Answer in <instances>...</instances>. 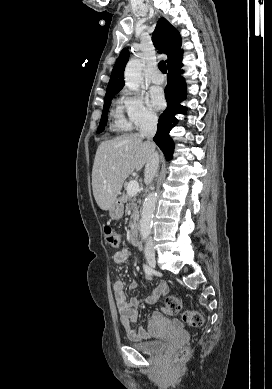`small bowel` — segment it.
<instances>
[{
  "label": "small bowel",
  "mask_w": 272,
  "mask_h": 389,
  "mask_svg": "<svg viewBox=\"0 0 272 389\" xmlns=\"http://www.w3.org/2000/svg\"><path fill=\"white\" fill-rule=\"evenodd\" d=\"M129 256V251L125 248L115 252L113 255V260L115 263H123ZM131 289L137 287L136 281H131L129 284ZM114 297L116 300V305L120 315L121 325L130 340L140 341L147 340L153 337V331L151 325L160 319L161 314L155 312L152 316V319L149 322V328L139 327L137 330L133 327V323L136 322L138 318V307L143 304H152L158 298L165 296L169 292V287L167 283L161 282L153 292V294L146 299L131 298L127 300L124 283L121 280H117L113 285Z\"/></svg>",
  "instance_id": "c3829d8e"
}]
</instances>
